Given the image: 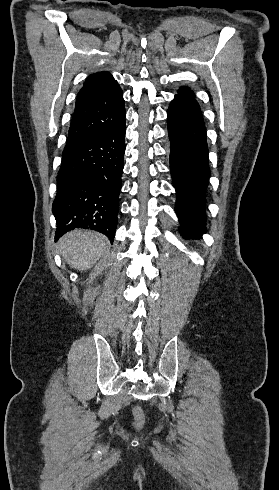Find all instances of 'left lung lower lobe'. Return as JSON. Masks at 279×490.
<instances>
[{"mask_svg": "<svg viewBox=\"0 0 279 490\" xmlns=\"http://www.w3.org/2000/svg\"><path fill=\"white\" fill-rule=\"evenodd\" d=\"M171 143L170 172L176 190L180 233L196 238L206 232L205 190L210 177L206 129L198 103L175 96L167 112Z\"/></svg>", "mask_w": 279, "mask_h": 490, "instance_id": "obj_1", "label": "left lung lower lobe"}]
</instances>
